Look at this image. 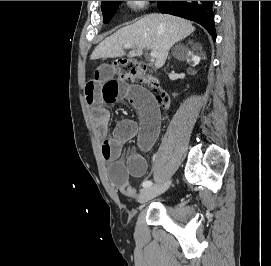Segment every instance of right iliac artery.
<instances>
[{
  "label": "right iliac artery",
  "instance_id": "82829eb1",
  "mask_svg": "<svg viewBox=\"0 0 271 266\" xmlns=\"http://www.w3.org/2000/svg\"><path fill=\"white\" fill-rule=\"evenodd\" d=\"M152 182L150 181V180H146V181H144L143 183H142V186L144 187V188H150L151 186H152Z\"/></svg>",
  "mask_w": 271,
  "mask_h": 266
}]
</instances>
